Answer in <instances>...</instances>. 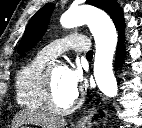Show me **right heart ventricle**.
Wrapping results in <instances>:
<instances>
[{
    "label": "right heart ventricle",
    "mask_w": 142,
    "mask_h": 128,
    "mask_svg": "<svg viewBox=\"0 0 142 128\" xmlns=\"http://www.w3.org/2000/svg\"><path fill=\"white\" fill-rule=\"evenodd\" d=\"M49 60V58L39 53L18 72L16 77V97L17 102L22 107L31 110L46 108L44 82L46 65Z\"/></svg>",
    "instance_id": "e07e8e85"
}]
</instances>
